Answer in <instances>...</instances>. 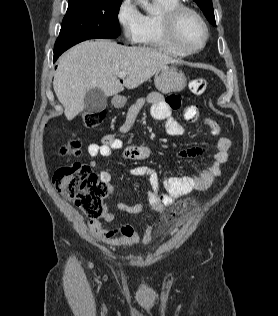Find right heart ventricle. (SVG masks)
Masks as SVG:
<instances>
[{"mask_svg":"<svg viewBox=\"0 0 278 316\" xmlns=\"http://www.w3.org/2000/svg\"><path fill=\"white\" fill-rule=\"evenodd\" d=\"M155 2L159 7V11L143 15L142 28L137 43L164 51L175 57L187 56L188 54L181 51L171 41L164 23L166 13L181 5V0H155Z\"/></svg>","mask_w":278,"mask_h":316,"instance_id":"right-heart-ventricle-1","label":"right heart ventricle"}]
</instances>
